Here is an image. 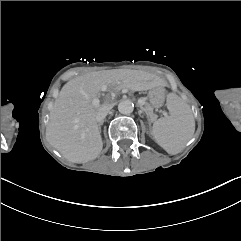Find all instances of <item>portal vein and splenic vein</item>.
Segmentation results:
<instances>
[{
	"instance_id": "obj_1",
	"label": "portal vein and splenic vein",
	"mask_w": 241,
	"mask_h": 241,
	"mask_svg": "<svg viewBox=\"0 0 241 241\" xmlns=\"http://www.w3.org/2000/svg\"><path fill=\"white\" fill-rule=\"evenodd\" d=\"M139 100H140V99H139ZM145 103H146V100H145V99L140 100V105H145ZM96 105H99V104L96 103Z\"/></svg>"
}]
</instances>
